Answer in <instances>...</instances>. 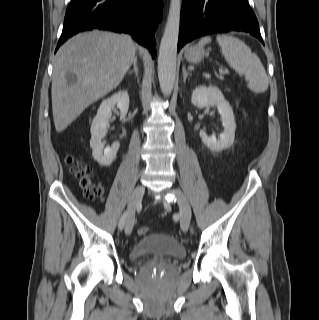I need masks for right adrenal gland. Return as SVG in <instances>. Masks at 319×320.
I'll return each instance as SVG.
<instances>
[{
	"label": "right adrenal gland",
	"mask_w": 319,
	"mask_h": 320,
	"mask_svg": "<svg viewBox=\"0 0 319 320\" xmlns=\"http://www.w3.org/2000/svg\"><path fill=\"white\" fill-rule=\"evenodd\" d=\"M135 73L136 77H138V66H137V57L134 58V61H133V70H130L129 71V74L131 73Z\"/></svg>",
	"instance_id": "right-adrenal-gland-1"
}]
</instances>
